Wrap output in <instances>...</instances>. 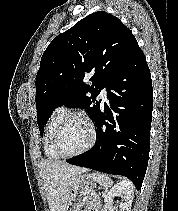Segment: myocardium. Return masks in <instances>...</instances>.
I'll return each mask as SVG.
<instances>
[{
    "label": "myocardium",
    "instance_id": "myocardium-1",
    "mask_svg": "<svg viewBox=\"0 0 178 211\" xmlns=\"http://www.w3.org/2000/svg\"><path fill=\"white\" fill-rule=\"evenodd\" d=\"M74 118L80 119L87 124V126L89 128V140H88V143L85 145V147L83 149H81L80 151H78L76 153H72V154H65V153H62L59 149V145H58L59 135H60L62 129L67 124V122ZM95 140H96V128H95L94 122L87 115H85L81 112H69L61 120V122L59 123V125L57 126V128L55 130L54 138H53V147H54V150L56 151V153L61 158L67 159V158H73V157H76V156L86 153L88 150H90L92 148V146L95 143Z\"/></svg>",
    "mask_w": 178,
    "mask_h": 211
}]
</instances>
